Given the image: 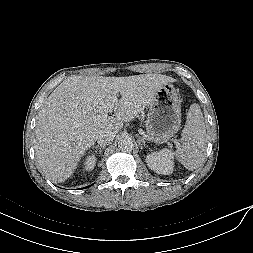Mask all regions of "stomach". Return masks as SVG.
Returning a JSON list of instances; mask_svg holds the SVG:
<instances>
[{"label": "stomach", "mask_w": 253, "mask_h": 253, "mask_svg": "<svg viewBox=\"0 0 253 253\" xmlns=\"http://www.w3.org/2000/svg\"><path fill=\"white\" fill-rule=\"evenodd\" d=\"M145 121L148 136L158 144L170 140L181 126V107L172 84L164 85L149 104Z\"/></svg>", "instance_id": "1"}]
</instances>
